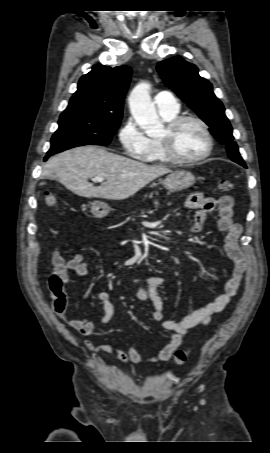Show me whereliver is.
<instances>
[{"label":"liver","mask_w":270,"mask_h":453,"mask_svg":"<svg viewBox=\"0 0 270 453\" xmlns=\"http://www.w3.org/2000/svg\"><path fill=\"white\" fill-rule=\"evenodd\" d=\"M165 166H151L96 146H80L51 157L42 175L57 178L68 190L86 198L124 200L156 178L170 173ZM106 179L101 186L88 182L93 177Z\"/></svg>","instance_id":"liver-1"}]
</instances>
